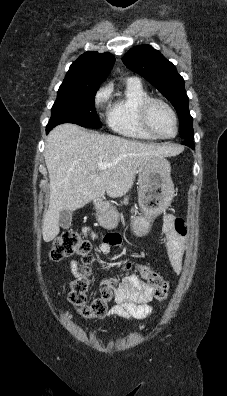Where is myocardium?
<instances>
[{
  "label": "myocardium",
  "mask_w": 227,
  "mask_h": 396,
  "mask_svg": "<svg viewBox=\"0 0 227 396\" xmlns=\"http://www.w3.org/2000/svg\"><path fill=\"white\" fill-rule=\"evenodd\" d=\"M154 104H161L163 105L172 115L175 123V132L172 136H163L159 134L152 126L150 121V112L151 108ZM140 121L142 126L145 128L147 132L158 139H172L176 137L179 131V120L176 111L174 108L168 103L166 100L158 97H149L147 98L140 107Z\"/></svg>",
  "instance_id": "f54148a6"
}]
</instances>
